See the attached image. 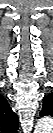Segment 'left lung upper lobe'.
Masks as SVG:
<instances>
[{
	"mask_svg": "<svg viewBox=\"0 0 53 133\" xmlns=\"http://www.w3.org/2000/svg\"><path fill=\"white\" fill-rule=\"evenodd\" d=\"M51 115L53 116V95L49 94L44 98V103L40 116Z\"/></svg>",
	"mask_w": 53,
	"mask_h": 133,
	"instance_id": "1",
	"label": "left lung upper lobe"
}]
</instances>
